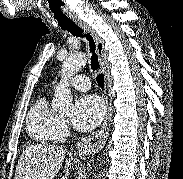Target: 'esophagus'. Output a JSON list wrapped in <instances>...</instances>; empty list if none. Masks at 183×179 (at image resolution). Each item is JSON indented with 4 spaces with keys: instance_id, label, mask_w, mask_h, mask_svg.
I'll list each match as a JSON object with an SVG mask.
<instances>
[{
    "instance_id": "1",
    "label": "esophagus",
    "mask_w": 183,
    "mask_h": 179,
    "mask_svg": "<svg viewBox=\"0 0 183 179\" xmlns=\"http://www.w3.org/2000/svg\"><path fill=\"white\" fill-rule=\"evenodd\" d=\"M75 22L78 24V26H80L83 29L85 34L89 33L93 37L96 45V52L99 57L101 69L105 79V99L107 105V115L103 121L101 128L98 131H96L95 133L91 134L86 138L81 139L77 143V150L80 153L89 154L101 149L104 146L109 134L110 120L112 115V108L109 100L111 80L103 40L98 36L96 31L92 29L87 23L83 22L80 19H76Z\"/></svg>"
}]
</instances>
